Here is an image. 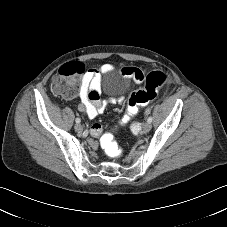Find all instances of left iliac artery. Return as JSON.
Returning <instances> with one entry per match:
<instances>
[{
    "mask_svg": "<svg viewBox=\"0 0 227 227\" xmlns=\"http://www.w3.org/2000/svg\"><path fill=\"white\" fill-rule=\"evenodd\" d=\"M153 118L151 116L148 117L147 122L151 123Z\"/></svg>",
    "mask_w": 227,
    "mask_h": 227,
    "instance_id": "left-iliac-artery-1",
    "label": "left iliac artery"
}]
</instances>
